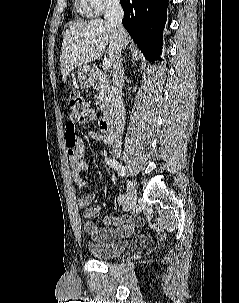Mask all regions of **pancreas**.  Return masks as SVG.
Listing matches in <instances>:
<instances>
[{
    "mask_svg": "<svg viewBox=\"0 0 239 303\" xmlns=\"http://www.w3.org/2000/svg\"><path fill=\"white\" fill-rule=\"evenodd\" d=\"M93 82L95 89L99 92L97 104L103 114H108L112 109V86L107 74L101 70L94 71Z\"/></svg>",
    "mask_w": 239,
    "mask_h": 303,
    "instance_id": "pancreas-1",
    "label": "pancreas"
}]
</instances>
